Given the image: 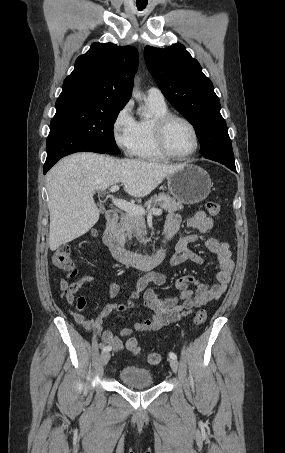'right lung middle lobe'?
Returning a JSON list of instances; mask_svg holds the SVG:
<instances>
[{"label": "right lung middle lobe", "mask_w": 285, "mask_h": 453, "mask_svg": "<svg viewBox=\"0 0 285 453\" xmlns=\"http://www.w3.org/2000/svg\"><path fill=\"white\" fill-rule=\"evenodd\" d=\"M124 105L99 99L56 101L50 125H61L98 147L102 153L119 154L113 124Z\"/></svg>", "instance_id": "1"}]
</instances>
